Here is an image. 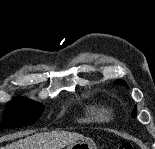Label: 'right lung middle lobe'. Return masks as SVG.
Masks as SVG:
<instances>
[{"mask_svg":"<svg viewBox=\"0 0 155 149\" xmlns=\"http://www.w3.org/2000/svg\"><path fill=\"white\" fill-rule=\"evenodd\" d=\"M44 107L27 98L17 97L8 102L6 116L1 128L33 125L41 116Z\"/></svg>","mask_w":155,"mask_h":149,"instance_id":"dd1d6c3e","label":"right lung middle lobe"}]
</instances>
